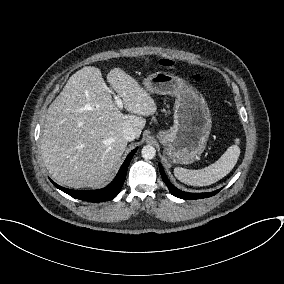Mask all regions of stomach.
Returning <instances> with one entry per match:
<instances>
[{
	"instance_id": "1",
	"label": "stomach",
	"mask_w": 284,
	"mask_h": 284,
	"mask_svg": "<svg viewBox=\"0 0 284 284\" xmlns=\"http://www.w3.org/2000/svg\"><path fill=\"white\" fill-rule=\"evenodd\" d=\"M144 86L151 93L176 97L174 124L157 135L168 161L191 164L199 159L212 127L204 97L184 79L168 72L151 74L144 80Z\"/></svg>"
}]
</instances>
